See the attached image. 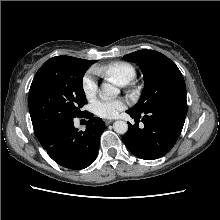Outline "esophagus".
<instances>
[{
	"instance_id": "obj_1",
	"label": "esophagus",
	"mask_w": 220,
	"mask_h": 220,
	"mask_svg": "<svg viewBox=\"0 0 220 220\" xmlns=\"http://www.w3.org/2000/svg\"><path fill=\"white\" fill-rule=\"evenodd\" d=\"M113 122V120H105V124L106 125H109V124H111Z\"/></svg>"
}]
</instances>
